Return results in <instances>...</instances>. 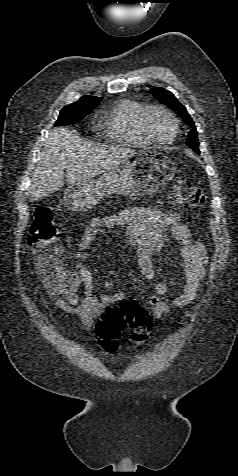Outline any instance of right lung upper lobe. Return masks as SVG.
Segmentation results:
<instances>
[{"instance_id":"right-lung-upper-lobe-1","label":"right lung upper lobe","mask_w":238,"mask_h":476,"mask_svg":"<svg viewBox=\"0 0 238 476\" xmlns=\"http://www.w3.org/2000/svg\"><path fill=\"white\" fill-rule=\"evenodd\" d=\"M101 101L99 97L83 96L78 101L72 103V105L88 106V105H98Z\"/></svg>"}]
</instances>
